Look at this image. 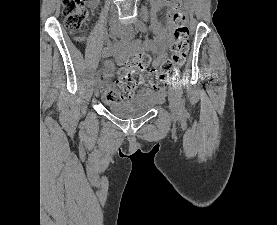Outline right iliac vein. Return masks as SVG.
I'll list each match as a JSON object with an SVG mask.
<instances>
[{"label": "right iliac vein", "instance_id": "obj_1", "mask_svg": "<svg viewBox=\"0 0 277 225\" xmlns=\"http://www.w3.org/2000/svg\"><path fill=\"white\" fill-rule=\"evenodd\" d=\"M111 31H112L113 36H115V37H122L124 35L123 29L118 28V27L113 28ZM93 91H94V94L97 95L99 92L98 87L95 86Z\"/></svg>", "mask_w": 277, "mask_h": 225}]
</instances>
